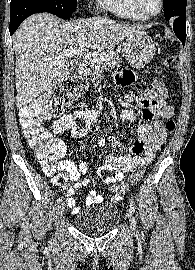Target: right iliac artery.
<instances>
[{
    "label": "right iliac artery",
    "mask_w": 195,
    "mask_h": 270,
    "mask_svg": "<svg viewBox=\"0 0 195 270\" xmlns=\"http://www.w3.org/2000/svg\"><path fill=\"white\" fill-rule=\"evenodd\" d=\"M61 202H62V198H59V199L57 200V204L59 205Z\"/></svg>",
    "instance_id": "right-iliac-artery-1"
}]
</instances>
